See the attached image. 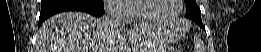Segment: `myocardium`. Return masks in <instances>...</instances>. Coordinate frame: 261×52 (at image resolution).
<instances>
[{
	"mask_svg": "<svg viewBox=\"0 0 261 52\" xmlns=\"http://www.w3.org/2000/svg\"><path fill=\"white\" fill-rule=\"evenodd\" d=\"M143 1H148V0L135 1L134 6H135V12L138 16V19L140 21L146 22V23L161 25V24H168V23L174 22L179 18V16L182 13V10H183V0H176L177 9H176L175 13L172 16H170L169 18L161 19V18L150 17L141 12V2H143Z\"/></svg>",
	"mask_w": 261,
	"mask_h": 52,
	"instance_id": "obj_1",
	"label": "myocardium"
}]
</instances>
